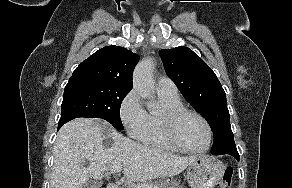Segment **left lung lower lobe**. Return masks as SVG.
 <instances>
[{
    "label": "left lung lower lobe",
    "mask_w": 292,
    "mask_h": 188,
    "mask_svg": "<svg viewBox=\"0 0 292 188\" xmlns=\"http://www.w3.org/2000/svg\"><path fill=\"white\" fill-rule=\"evenodd\" d=\"M222 154H229V155H232L233 157H235V158L239 161V154H238L237 149H235V150H230V151H225V152H223Z\"/></svg>",
    "instance_id": "left-lung-lower-lobe-1"
}]
</instances>
